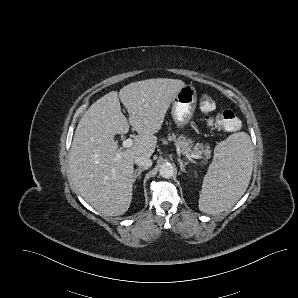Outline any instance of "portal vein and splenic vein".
<instances>
[{"mask_svg":"<svg viewBox=\"0 0 298 298\" xmlns=\"http://www.w3.org/2000/svg\"><path fill=\"white\" fill-rule=\"evenodd\" d=\"M134 143V140L132 138H127L126 140H124L123 142V146L125 148H129L133 145ZM185 156L188 158V159H196V158H199L198 155L194 154V153H190V152H185L184 153ZM118 161V157H116L113 162H117Z\"/></svg>","mask_w":298,"mask_h":298,"instance_id":"1","label":"portal vein and splenic vein"}]
</instances>
